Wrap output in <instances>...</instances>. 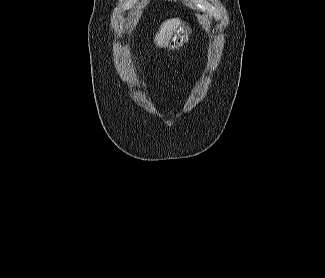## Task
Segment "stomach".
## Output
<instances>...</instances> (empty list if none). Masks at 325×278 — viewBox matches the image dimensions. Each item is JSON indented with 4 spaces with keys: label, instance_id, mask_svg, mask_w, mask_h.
<instances>
[{
    "label": "stomach",
    "instance_id": "stomach-1",
    "mask_svg": "<svg viewBox=\"0 0 325 278\" xmlns=\"http://www.w3.org/2000/svg\"><path fill=\"white\" fill-rule=\"evenodd\" d=\"M191 32L189 24L181 23L174 31L168 43V48L171 50L179 49L188 41Z\"/></svg>",
    "mask_w": 325,
    "mask_h": 278
}]
</instances>
